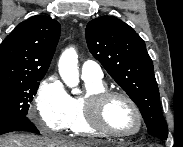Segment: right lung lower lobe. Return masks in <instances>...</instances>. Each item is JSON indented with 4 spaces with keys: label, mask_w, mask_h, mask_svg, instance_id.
<instances>
[{
    "label": "right lung lower lobe",
    "mask_w": 183,
    "mask_h": 147,
    "mask_svg": "<svg viewBox=\"0 0 183 147\" xmlns=\"http://www.w3.org/2000/svg\"><path fill=\"white\" fill-rule=\"evenodd\" d=\"M13 131H27L39 134V131L27 116H13L0 119V135Z\"/></svg>",
    "instance_id": "1"
}]
</instances>
